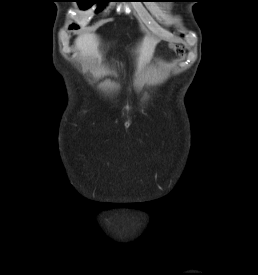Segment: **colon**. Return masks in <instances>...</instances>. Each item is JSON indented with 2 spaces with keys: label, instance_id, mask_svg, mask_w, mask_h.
I'll return each instance as SVG.
<instances>
[{
  "label": "colon",
  "instance_id": "obj_1",
  "mask_svg": "<svg viewBox=\"0 0 258 275\" xmlns=\"http://www.w3.org/2000/svg\"><path fill=\"white\" fill-rule=\"evenodd\" d=\"M173 50L176 51L177 53H182L184 51V47L181 45H173L172 46Z\"/></svg>",
  "mask_w": 258,
  "mask_h": 275
}]
</instances>
